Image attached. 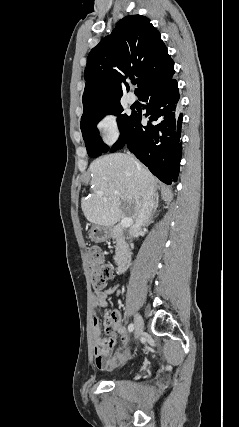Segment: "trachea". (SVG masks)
I'll return each mask as SVG.
<instances>
[{"instance_id":"trachea-1","label":"trachea","mask_w":239,"mask_h":427,"mask_svg":"<svg viewBox=\"0 0 239 427\" xmlns=\"http://www.w3.org/2000/svg\"><path fill=\"white\" fill-rule=\"evenodd\" d=\"M132 83L135 85L137 82H136V81H133Z\"/></svg>"}]
</instances>
